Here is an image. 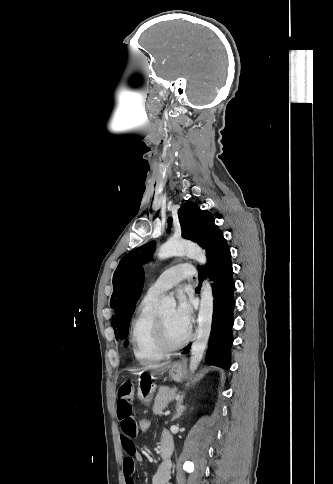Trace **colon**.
<instances>
[{
  "label": "colon",
  "mask_w": 333,
  "mask_h": 484,
  "mask_svg": "<svg viewBox=\"0 0 333 484\" xmlns=\"http://www.w3.org/2000/svg\"><path fill=\"white\" fill-rule=\"evenodd\" d=\"M151 426L152 422L147 417H140L137 420V427L139 433H147L151 429Z\"/></svg>",
  "instance_id": "1"
}]
</instances>
